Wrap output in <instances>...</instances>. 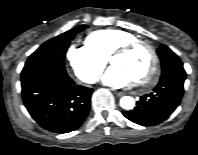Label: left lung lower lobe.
Wrapping results in <instances>:
<instances>
[{
	"label": "left lung lower lobe",
	"mask_w": 198,
	"mask_h": 155,
	"mask_svg": "<svg viewBox=\"0 0 198 155\" xmlns=\"http://www.w3.org/2000/svg\"><path fill=\"white\" fill-rule=\"evenodd\" d=\"M186 79L185 71H178L161 77L153 92L140 97L132 111H124L123 115L130 121L142 125H157L173 113L178 107ZM148 112L150 117L143 118L141 113Z\"/></svg>",
	"instance_id": "obj_1"
}]
</instances>
